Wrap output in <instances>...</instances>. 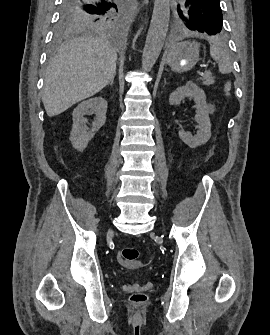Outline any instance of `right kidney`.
<instances>
[{"mask_svg": "<svg viewBox=\"0 0 270 335\" xmlns=\"http://www.w3.org/2000/svg\"><path fill=\"white\" fill-rule=\"evenodd\" d=\"M106 112L107 102L104 98H90V100L78 104L72 114L73 126L69 138L73 148H76L78 152H83L89 140H92L93 136H95L94 132H97L99 128L104 126ZM84 114H96V118H94V122H92L91 130L86 126L87 120L83 118Z\"/></svg>", "mask_w": 270, "mask_h": 335, "instance_id": "1", "label": "right kidney"}]
</instances>
